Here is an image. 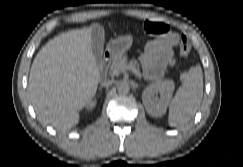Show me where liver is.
<instances>
[{
    "instance_id": "1",
    "label": "liver",
    "mask_w": 243,
    "mask_h": 167,
    "mask_svg": "<svg viewBox=\"0 0 243 167\" xmlns=\"http://www.w3.org/2000/svg\"><path fill=\"white\" fill-rule=\"evenodd\" d=\"M91 33V28H84L55 37L32 63L29 91L37 117L57 129L78 124V111L97 91L100 72Z\"/></svg>"
}]
</instances>
